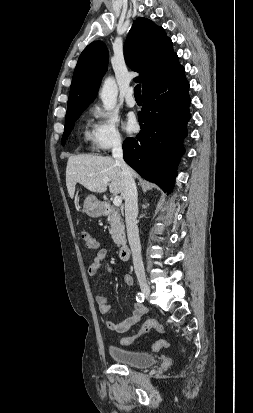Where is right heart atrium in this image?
Returning <instances> with one entry per match:
<instances>
[{"label": "right heart atrium", "instance_id": "right-heart-atrium-1", "mask_svg": "<svg viewBox=\"0 0 253 413\" xmlns=\"http://www.w3.org/2000/svg\"><path fill=\"white\" fill-rule=\"evenodd\" d=\"M92 114L95 118L91 134L94 148L105 152L121 146L123 136L116 115L99 107H95Z\"/></svg>", "mask_w": 253, "mask_h": 413}]
</instances>
